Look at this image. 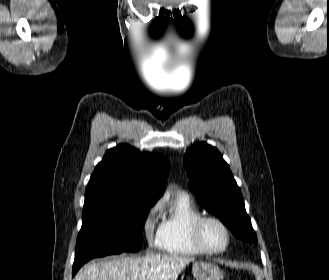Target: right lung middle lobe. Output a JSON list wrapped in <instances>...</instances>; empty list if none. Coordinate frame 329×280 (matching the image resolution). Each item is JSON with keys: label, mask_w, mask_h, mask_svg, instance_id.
I'll return each mask as SVG.
<instances>
[{"label": "right lung middle lobe", "mask_w": 329, "mask_h": 280, "mask_svg": "<svg viewBox=\"0 0 329 280\" xmlns=\"http://www.w3.org/2000/svg\"><path fill=\"white\" fill-rule=\"evenodd\" d=\"M157 200L117 198L85 210L72 275L95 257L139 251L145 219Z\"/></svg>", "instance_id": "dd1d6c3e"}]
</instances>
